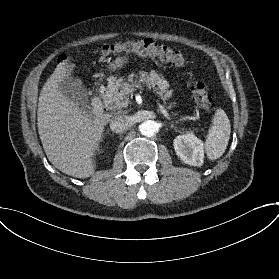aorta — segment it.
<instances>
[{
    "label": "aorta",
    "instance_id": "762f6f07",
    "mask_svg": "<svg viewBox=\"0 0 279 279\" xmlns=\"http://www.w3.org/2000/svg\"><path fill=\"white\" fill-rule=\"evenodd\" d=\"M139 130L144 136H152L159 130V124L154 120H146L140 126Z\"/></svg>",
    "mask_w": 279,
    "mask_h": 279
}]
</instances>
